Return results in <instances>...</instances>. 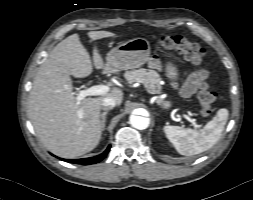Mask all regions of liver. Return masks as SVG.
I'll list each match as a JSON object with an SVG mask.
<instances>
[{
  "label": "liver",
  "mask_w": 253,
  "mask_h": 200,
  "mask_svg": "<svg viewBox=\"0 0 253 200\" xmlns=\"http://www.w3.org/2000/svg\"><path fill=\"white\" fill-rule=\"evenodd\" d=\"M113 36L108 31H90L88 37L96 41ZM93 62L97 69L108 68L96 46ZM93 71L91 58L81 44L78 34L58 43L39 67L28 99V116L42 144L62 158H75L92 151L101 138L100 110L106 97L123 101V91L113 87L95 98L76 102L71 75L84 78Z\"/></svg>",
  "instance_id": "1"
}]
</instances>
